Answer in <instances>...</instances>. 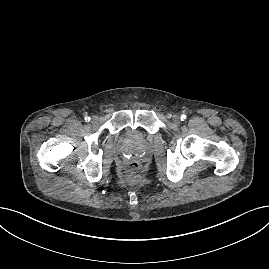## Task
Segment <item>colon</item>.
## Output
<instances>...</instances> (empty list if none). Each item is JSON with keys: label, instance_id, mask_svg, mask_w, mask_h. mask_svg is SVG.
Masks as SVG:
<instances>
[{"label": "colon", "instance_id": "5ec220e1", "mask_svg": "<svg viewBox=\"0 0 269 269\" xmlns=\"http://www.w3.org/2000/svg\"><path fill=\"white\" fill-rule=\"evenodd\" d=\"M122 170L128 176H136L140 172V165L138 163H127L123 165Z\"/></svg>", "mask_w": 269, "mask_h": 269}]
</instances>
